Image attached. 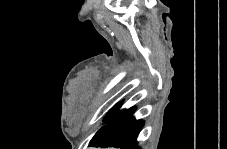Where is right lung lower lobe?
Listing matches in <instances>:
<instances>
[{
    "instance_id": "98d812e1",
    "label": "right lung lower lobe",
    "mask_w": 227,
    "mask_h": 149,
    "mask_svg": "<svg viewBox=\"0 0 227 149\" xmlns=\"http://www.w3.org/2000/svg\"><path fill=\"white\" fill-rule=\"evenodd\" d=\"M134 112L135 107H131L116 120L103 126L89 145L104 148L139 149L136 140L144 126V121L136 120L133 117Z\"/></svg>"
}]
</instances>
